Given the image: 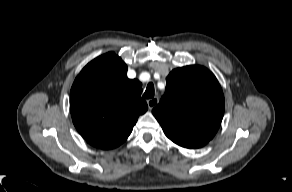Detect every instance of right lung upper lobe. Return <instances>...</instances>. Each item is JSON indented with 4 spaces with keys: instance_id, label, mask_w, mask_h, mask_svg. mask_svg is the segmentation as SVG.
<instances>
[{
    "instance_id": "cb5924a9",
    "label": "right lung upper lobe",
    "mask_w": 292,
    "mask_h": 192,
    "mask_svg": "<svg viewBox=\"0 0 292 192\" xmlns=\"http://www.w3.org/2000/svg\"><path fill=\"white\" fill-rule=\"evenodd\" d=\"M138 80L127 78V65L110 52L88 63L76 77L70 92L73 123L86 141L112 149L132 132L147 109Z\"/></svg>"
}]
</instances>
